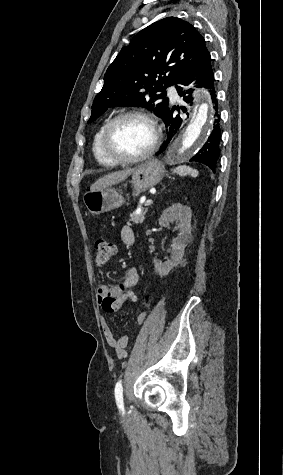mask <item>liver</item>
I'll list each match as a JSON object with an SVG mask.
<instances>
[{"instance_id": "6515ba94", "label": "liver", "mask_w": 283, "mask_h": 475, "mask_svg": "<svg viewBox=\"0 0 283 475\" xmlns=\"http://www.w3.org/2000/svg\"><path fill=\"white\" fill-rule=\"evenodd\" d=\"M134 172V168L130 170H121V172H112V174H107L104 178H99L95 184L90 186V192H99L103 188H109V186H114V184H119L123 180H127L128 176Z\"/></svg>"}]
</instances>
